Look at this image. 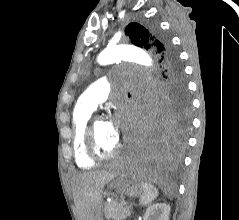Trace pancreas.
Instances as JSON below:
<instances>
[{
    "mask_svg": "<svg viewBox=\"0 0 239 220\" xmlns=\"http://www.w3.org/2000/svg\"><path fill=\"white\" fill-rule=\"evenodd\" d=\"M104 214L108 220H124L130 216L127 205L117 201L106 203L104 207Z\"/></svg>",
    "mask_w": 239,
    "mask_h": 220,
    "instance_id": "cf45deb5",
    "label": "pancreas"
}]
</instances>
